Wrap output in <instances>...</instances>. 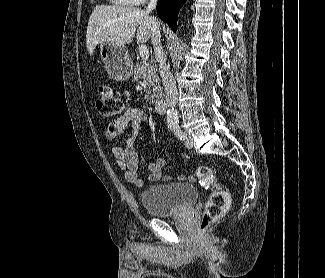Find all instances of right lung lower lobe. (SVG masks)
I'll return each instance as SVG.
<instances>
[{
  "label": "right lung lower lobe",
  "mask_w": 325,
  "mask_h": 278,
  "mask_svg": "<svg viewBox=\"0 0 325 278\" xmlns=\"http://www.w3.org/2000/svg\"><path fill=\"white\" fill-rule=\"evenodd\" d=\"M185 2L186 0H158L157 14L159 18L167 23L175 32L178 12Z\"/></svg>",
  "instance_id": "98d812e1"
}]
</instances>
